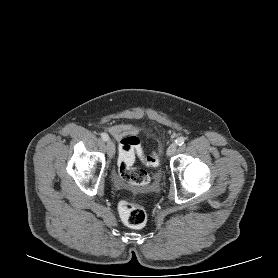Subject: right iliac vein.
Returning <instances> with one entry per match:
<instances>
[{
	"instance_id": "1",
	"label": "right iliac vein",
	"mask_w": 278,
	"mask_h": 278,
	"mask_svg": "<svg viewBox=\"0 0 278 278\" xmlns=\"http://www.w3.org/2000/svg\"><path fill=\"white\" fill-rule=\"evenodd\" d=\"M106 147H107V152H108L109 157L112 158L113 155L115 154V145H114V143L111 140H108Z\"/></svg>"
}]
</instances>
